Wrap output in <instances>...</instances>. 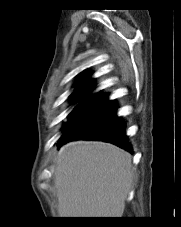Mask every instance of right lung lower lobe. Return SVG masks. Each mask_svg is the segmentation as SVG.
Here are the masks:
<instances>
[{
    "mask_svg": "<svg viewBox=\"0 0 181 227\" xmlns=\"http://www.w3.org/2000/svg\"><path fill=\"white\" fill-rule=\"evenodd\" d=\"M116 107L113 101H108L99 111L69 127L58 140L57 146L77 139L99 140L113 143L132 153L125 134V122L116 115Z\"/></svg>",
    "mask_w": 181,
    "mask_h": 227,
    "instance_id": "obj_1",
    "label": "right lung lower lobe"
}]
</instances>
